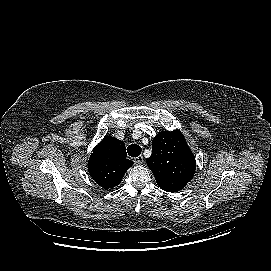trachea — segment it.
<instances>
[{
  "label": "trachea",
  "instance_id": "1",
  "mask_svg": "<svg viewBox=\"0 0 271 271\" xmlns=\"http://www.w3.org/2000/svg\"><path fill=\"white\" fill-rule=\"evenodd\" d=\"M141 151L142 149L139 145L132 144L127 147V152L131 157H138L141 154Z\"/></svg>",
  "mask_w": 271,
  "mask_h": 271
}]
</instances>
